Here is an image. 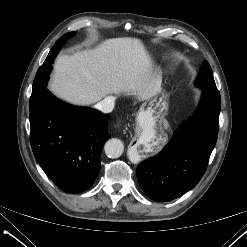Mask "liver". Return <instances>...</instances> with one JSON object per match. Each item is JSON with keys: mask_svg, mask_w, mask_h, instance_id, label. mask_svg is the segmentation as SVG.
Masks as SVG:
<instances>
[{"mask_svg": "<svg viewBox=\"0 0 247 247\" xmlns=\"http://www.w3.org/2000/svg\"><path fill=\"white\" fill-rule=\"evenodd\" d=\"M161 81L141 40L112 38L92 49L59 56L49 90L68 103L88 106L107 95L148 100L161 91Z\"/></svg>", "mask_w": 247, "mask_h": 247, "instance_id": "obj_1", "label": "liver"}]
</instances>
